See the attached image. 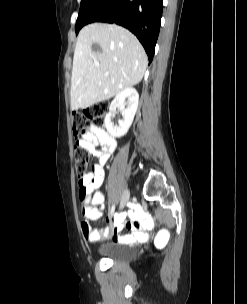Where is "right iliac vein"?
<instances>
[{"label":"right iliac vein","instance_id":"63e3f726","mask_svg":"<svg viewBox=\"0 0 247 304\" xmlns=\"http://www.w3.org/2000/svg\"><path fill=\"white\" fill-rule=\"evenodd\" d=\"M129 199H130V192L128 190H126L122 195V199H121V203H120V209H123L125 207V205L129 201Z\"/></svg>","mask_w":247,"mask_h":304}]
</instances>
